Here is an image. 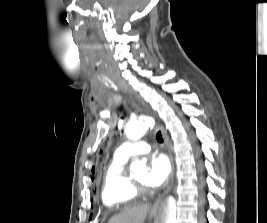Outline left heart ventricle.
Listing matches in <instances>:
<instances>
[{
  "label": "left heart ventricle",
  "mask_w": 267,
  "mask_h": 223,
  "mask_svg": "<svg viewBox=\"0 0 267 223\" xmlns=\"http://www.w3.org/2000/svg\"><path fill=\"white\" fill-rule=\"evenodd\" d=\"M146 175L147 173L144 172L140 174L139 176H137L136 178H134V180L139 184L146 185Z\"/></svg>",
  "instance_id": "obj_1"
}]
</instances>
